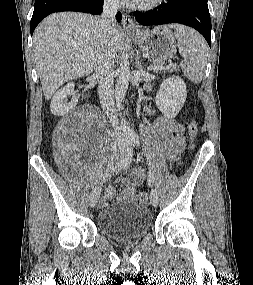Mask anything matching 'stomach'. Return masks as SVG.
<instances>
[{"instance_id": "1", "label": "stomach", "mask_w": 253, "mask_h": 285, "mask_svg": "<svg viewBox=\"0 0 253 285\" xmlns=\"http://www.w3.org/2000/svg\"><path fill=\"white\" fill-rule=\"evenodd\" d=\"M133 38L143 53L156 62L163 63L171 59L177 52L174 35L166 26L139 30L133 34Z\"/></svg>"}]
</instances>
